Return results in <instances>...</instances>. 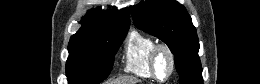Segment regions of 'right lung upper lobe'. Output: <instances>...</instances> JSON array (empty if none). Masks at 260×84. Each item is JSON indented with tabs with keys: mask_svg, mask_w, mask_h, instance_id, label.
I'll list each match as a JSON object with an SVG mask.
<instances>
[{
	"mask_svg": "<svg viewBox=\"0 0 260 84\" xmlns=\"http://www.w3.org/2000/svg\"><path fill=\"white\" fill-rule=\"evenodd\" d=\"M82 28L70 38L69 44L93 40L110 30H128L130 15L128 8L120 11L92 9L82 20Z\"/></svg>",
	"mask_w": 260,
	"mask_h": 84,
	"instance_id": "cb5924a9",
	"label": "right lung upper lobe"
}]
</instances>
